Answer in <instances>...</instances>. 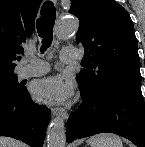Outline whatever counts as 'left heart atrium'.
<instances>
[{
    "label": "left heart atrium",
    "instance_id": "1",
    "mask_svg": "<svg viewBox=\"0 0 145 147\" xmlns=\"http://www.w3.org/2000/svg\"><path fill=\"white\" fill-rule=\"evenodd\" d=\"M32 93L38 101L59 104L65 102L71 96L72 87L61 77L53 76L37 81Z\"/></svg>",
    "mask_w": 145,
    "mask_h": 147
}]
</instances>
